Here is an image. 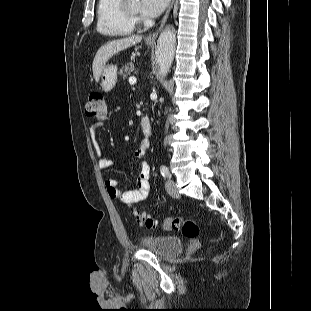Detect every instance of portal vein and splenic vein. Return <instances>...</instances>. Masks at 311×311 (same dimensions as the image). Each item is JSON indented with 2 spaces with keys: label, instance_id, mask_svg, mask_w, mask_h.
<instances>
[{
  "label": "portal vein and splenic vein",
  "instance_id": "portal-vein-and-splenic-vein-1",
  "mask_svg": "<svg viewBox=\"0 0 311 311\" xmlns=\"http://www.w3.org/2000/svg\"><path fill=\"white\" fill-rule=\"evenodd\" d=\"M136 81H137V79H136L135 77H130V78H129V83H130L131 85H134V84L136 83Z\"/></svg>",
  "mask_w": 311,
  "mask_h": 311
}]
</instances>
